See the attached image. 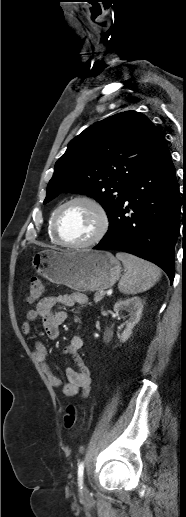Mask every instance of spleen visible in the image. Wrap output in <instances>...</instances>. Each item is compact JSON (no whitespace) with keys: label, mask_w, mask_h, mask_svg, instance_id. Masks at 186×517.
<instances>
[{"label":"spleen","mask_w":186,"mask_h":517,"mask_svg":"<svg viewBox=\"0 0 186 517\" xmlns=\"http://www.w3.org/2000/svg\"><path fill=\"white\" fill-rule=\"evenodd\" d=\"M122 261L125 273L119 281V291L134 295L153 287L161 277V271L154 264L127 253H117Z\"/></svg>","instance_id":"1"}]
</instances>
